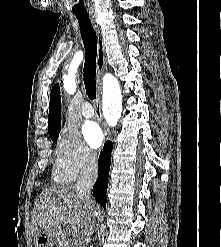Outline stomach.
Wrapping results in <instances>:
<instances>
[{
  "label": "stomach",
  "instance_id": "0dacf381",
  "mask_svg": "<svg viewBox=\"0 0 221 247\" xmlns=\"http://www.w3.org/2000/svg\"><path fill=\"white\" fill-rule=\"evenodd\" d=\"M55 239L53 231L40 232L34 238L35 247H52Z\"/></svg>",
  "mask_w": 221,
  "mask_h": 247
}]
</instances>
